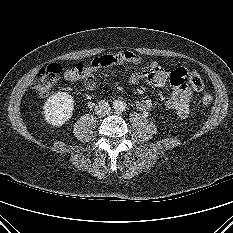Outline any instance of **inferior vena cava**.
<instances>
[{"instance_id":"obj_1","label":"inferior vena cava","mask_w":233,"mask_h":233,"mask_svg":"<svg viewBox=\"0 0 233 233\" xmlns=\"http://www.w3.org/2000/svg\"><path fill=\"white\" fill-rule=\"evenodd\" d=\"M110 110L111 108L107 102H99L94 108L95 114L98 116H105L110 113Z\"/></svg>"}]
</instances>
